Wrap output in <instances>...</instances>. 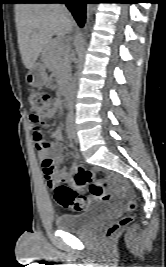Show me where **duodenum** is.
<instances>
[{"instance_id":"1","label":"duodenum","mask_w":166,"mask_h":267,"mask_svg":"<svg viewBox=\"0 0 166 267\" xmlns=\"http://www.w3.org/2000/svg\"><path fill=\"white\" fill-rule=\"evenodd\" d=\"M67 92V81L63 80L60 85V94L64 96Z\"/></svg>"}]
</instances>
